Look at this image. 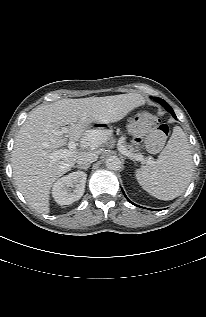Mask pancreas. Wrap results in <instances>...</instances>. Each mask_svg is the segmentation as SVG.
I'll list each match as a JSON object with an SVG mask.
<instances>
[{
  "label": "pancreas",
  "mask_w": 206,
  "mask_h": 317,
  "mask_svg": "<svg viewBox=\"0 0 206 317\" xmlns=\"http://www.w3.org/2000/svg\"><path fill=\"white\" fill-rule=\"evenodd\" d=\"M106 137V136H105ZM120 140L121 141H126L127 140V135L126 134H121L120 135ZM124 149L128 150L131 154L133 155H139L140 154V149L132 145L131 143H125L124 144Z\"/></svg>",
  "instance_id": "obj_1"
}]
</instances>
